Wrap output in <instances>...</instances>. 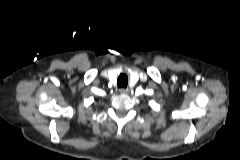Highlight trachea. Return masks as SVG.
<instances>
[{"label":"trachea","mask_w":240,"mask_h":160,"mask_svg":"<svg viewBox=\"0 0 240 160\" xmlns=\"http://www.w3.org/2000/svg\"><path fill=\"white\" fill-rule=\"evenodd\" d=\"M128 84V77L126 74H120L117 79V86L119 88H126Z\"/></svg>","instance_id":"trachea-1"}]
</instances>
